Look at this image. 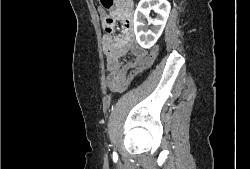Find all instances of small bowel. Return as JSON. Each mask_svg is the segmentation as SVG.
Instances as JSON below:
<instances>
[{
    "label": "small bowel",
    "instance_id": "obj_1",
    "mask_svg": "<svg viewBox=\"0 0 250 169\" xmlns=\"http://www.w3.org/2000/svg\"><path fill=\"white\" fill-rule=\"evenodd\" d=\"M122 19L125 23L124 34L126 40L124 42H119L107 34L103 37V48L108 71V85L115 92H117L118 89H126L119 88L118 86L119 83H130L123 82L125 72H131V67H137L146 57L145 51L128 39L131 30V19L129 14L122 11ZM104 21L106 28L109 26V22H111V25L113 24V18L111 16H105ZM128 53L135 57L133 62L122 61V57Z\"/></svg>",
    "mask_w": 250,
    "mask_h": 169
}]
</instances>
